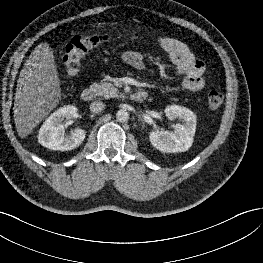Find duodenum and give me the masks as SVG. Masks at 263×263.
Segmentation results:
<instances>
[{"mask_svg":"<svg viewBox=\"0 0 263 263\" xmlns=\"http://www.w3.org/2000/svg\"><path fill=\"white\" fill-rule=\"evenodd\" d=\"M132 99L136 102H143L147 98V93L143 90H138L132 94ZM81 98L85 102H90L95 98V90L92 87H87L82 90Z\"/></svg>","mask_w":263,"mask_h":263,"instance_id":"duodenum-1","label":"duodenum"}]
</instances>
